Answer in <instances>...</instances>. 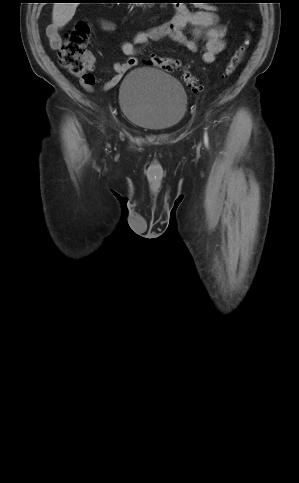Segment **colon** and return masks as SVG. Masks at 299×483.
<instances>
[{
  "mask_svg": "<svg viewBox=\"0 0 299 483\" xmlns=\"http://www.w3.org/2000/svg\"><path fill=\"white\" fill-rule=\"evenodd\" d=\"M90 36V26L85 21L78 22L65 36L64 42L59 48L60 64L71 75L79 78L81 83L86 87H92L95 84V78L92 73L86 70L87 53L86 48ZM251 42V28L246 30L244 39L239 47L232 55L228 62L223 76L228 78L234 74L239 64L243 60ZM144 63L156 67L164 72H172L175 69H181L183 64L179 59L161 57L152 55L149 59H145ZM183 80L192 90L199 92L202 85L198 79L190 72L184 71Z\"/></svg>",
  "mask_w": 299,
  "mask_h": 483,
  "instance_id": "1",
  "label": "colon"
}]
</instances>
